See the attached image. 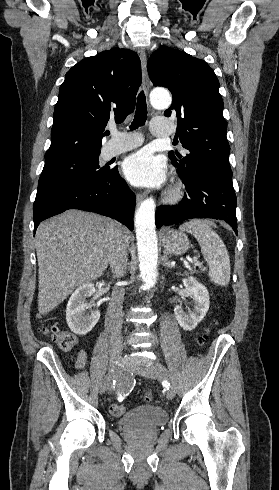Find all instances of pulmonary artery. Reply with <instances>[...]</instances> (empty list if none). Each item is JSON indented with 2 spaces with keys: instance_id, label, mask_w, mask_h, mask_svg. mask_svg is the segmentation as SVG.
Returning a JSON list of instances; mask_svg holds the SVG:
<instances>
[{
  "instance_id": "pulmonary-artery-1",
  "label": "pulmonary artery",
  "mask_w": 279,
  "mask_h": 490,
  "mask_svg": "<svg viewBox=\"0 0 279 490\" xmlns=\"http://www.w3.org/2000/svg\"><path fill=\"white\" fill-rule=\"evenodd\" d=\"M151 130L155 135L167 138L169 133L174 132L175 126L169 122L167 117H154ZM112 134L115 136L113 144L106 145L104 149L106 158L118 156L141 145L140 137H118L121 134L118 128H115Z\"/></svg>"
}]
</instances>
